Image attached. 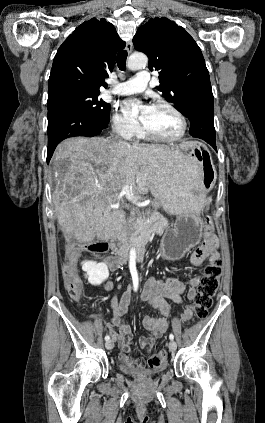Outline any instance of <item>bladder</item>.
Returning a JSON list of instances; mask_svg holds the SVG:
<instances>
[{
	"label": "bladder",
	"instance_id": "obj_1",
	"mask_svg": "<svg viewBox=\"0 0 265 423\" xmlns=\"http://www.w3.org/2000/svg\"><path fill=\"white\" fill-rule=\"evenodd\" d=\"M119 369L129 375L137 377H152L161 373L165 368L164 367H155V368H142L129 366L124 364L122 361L119 362Z\"/></svg>",
	"mask_w": 265,
	"mask_h": 423
}]
</instances>
